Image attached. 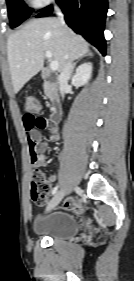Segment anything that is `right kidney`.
I'll return each instance as SVG.
<instances>
[{
  "mask_svg": "<svg viewBox=\"0 0 134 281\" xmlns=\"http://www.w3.org/2000/svg\"><path fill=\"white\" fill-rule=\"evenodd\" d=\"M92 74V64L84 63L78 67L72 78V84L76 87L83 86L88 83Z\"/></svg>",
  "mask_w": 134,
  "mask_h": 281,
  "instance_id": "1",
  "label": "right kidney"
}]
</instances>
